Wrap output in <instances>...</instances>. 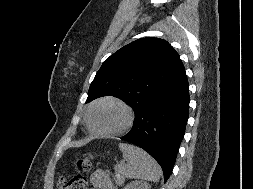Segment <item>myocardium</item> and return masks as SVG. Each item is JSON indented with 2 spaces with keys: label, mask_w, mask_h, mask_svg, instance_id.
<instances>
[{
  "label": "myocardium",
  "mask_w": 253,
  "mask_h": 189,
  "mask_svg": "<svg viewBox=\"0 0 253 189\" xmlns=\"http://www.w3.org/2000/svg\"><path fill=\"white\" fill-rule=\"evenodd\" d=\"M103 103H114V104H117L118 106H120L124 110V112L126 114V119H125L124 124L120 128L113 130V131H109V132H100V131H97L92 126L91 113L94 108H96L97 106H99L100 104H103ZM85 122H86V126H87L88 130L92 134L99 136V137H114V136H119V135L124 134L132 127L133 122H134V113H133L131 107L127 103H125L123 100L116 98V97H104V98H101V99L95 101L88 108L86 116H85Z\"/></svg>",
  "instance_id": "obj_1"
}]
</instances>
